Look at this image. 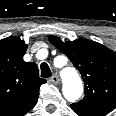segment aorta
<instances>
[{
  "label": "aorta",
  "instance_id": "762f6f07",
  "mask_svg": "<svg viewBox=\"0 0 116 116\" xmlns=\"http://www.w3.org/2000/svg\"><path fill=\"white\" fill-rule=\"evenodd\" d=\"M63 95L69 102H75L83 93L82 81L72 67L66 66L61 72Z\"/></svg>",
  "mask_w": 116,
  "mask_h": 116
}]
</instances>
